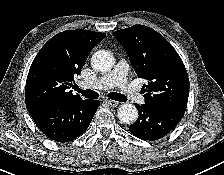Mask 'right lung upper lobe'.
<instances>
[{
  "label": "right lung upper lobe",
  "instance_id": "cb5924a9",
  "mask_svg": "<svg viewBox=\"0 0 224 175\" xmlns=\"http://www.w3.org/2000/svg\"><path fill=\"white\" fill-rule=\"evenodd\" d=\"M105 36L89 30H67L41 48L26 80L25 103L29 113L57 103L81 100L70 90L74 76L80 74L88 54Z\"/></svg>",
  "mask_w": 224,
  "mask_h": 175
}]
</instances>
